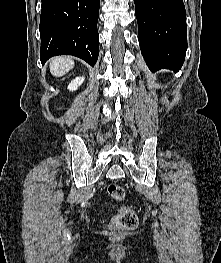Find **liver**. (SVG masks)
<instances>
[{"label": "liver", "mask_w": 221, "mask_h": 263, "mask_svg": "<svg viewBox=\"0 0 221 263\" xmlns=\"http://www.w3.org/2000/svg\"><path fill=\"white\" fill-rule=\"evenodd\" d=\"M74 67V61L69 57H56L50 60V72L53 76L61 77Z\"/></svg>", "instance_id": "obj_1"}]
</instances>
